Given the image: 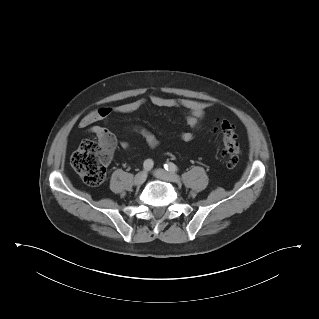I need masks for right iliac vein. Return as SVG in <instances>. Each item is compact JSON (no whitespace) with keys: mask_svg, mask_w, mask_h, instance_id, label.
Masks as SVG:
<instances>
[{"mask_svg":"<svg viewBox=\"0 0 319 319\" xmlns=\"http://www.w3.org/2000/svg\"><path fill=\"white\" fill-rule=\"evenodd\" d=\"M147 178V173L145 171H141L137 173L134 177V184L137 186L142 185Z\"/></svg>","mask_w":319,"mask_h":319,"instance_id":"right-iliac-vein-1","label":"right iliac vein"}]
</instances>
